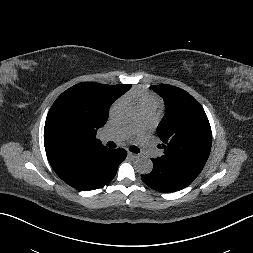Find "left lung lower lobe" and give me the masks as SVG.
Here are the masks:
<instances>
[{"label":"left lung lower lobe","mask_w":253,"mask_h":253,"mask_svg":"<svg viewBox=\"0 0 253 253\" xmlns=\"http://www.w3.org/2000/svg\"><path fill=\"white\" fill-rule=\"evenodd\" d=\"M153 170L141 177L142 181L159 192H174L190 185L199 175L182 167L161 160L151 159Z\"/></svg>","instance_id":"0a47b994"}]
</instances>
